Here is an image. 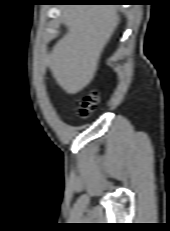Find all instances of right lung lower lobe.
I'll use <instances>...</instances> for the list:
<instances>
[{"label":"right lung lower lobe","mask_w":170,"mask_h":231,"mask_svg":"<svg viewBox=\"0 0 170 231\" xmlns=\"http://www.w3.org/2000/svg\"><path fill=\"white\" fill-rule=\"evenodd\" d=\"M60 3H117L122 0H54Z\"/></svg>","instance_id":"98d812e1"}]
</instances>
